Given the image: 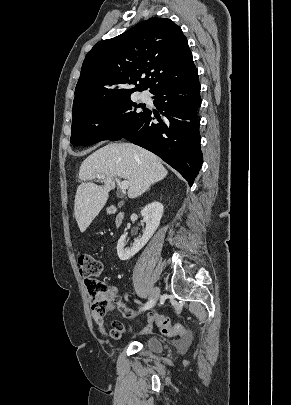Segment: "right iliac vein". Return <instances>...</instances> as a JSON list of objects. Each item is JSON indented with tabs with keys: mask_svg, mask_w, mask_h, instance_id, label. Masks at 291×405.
Returning <instances> with one entry per match:
<instances>
[{
	"mask_svg": "<svg viewBox=\"0 0 291 405\" xmlns=\"http://www.w3.org/2000/svg\"><path fill=\"white\" fill-rule=\"evenodd\" d=\"M160 296V290L158 287L153 288L152 292H151V299L154 301V305L157 302V300L159 299Z\"/></svg>",
	"mask_w": 291,
	"mask_h": 405,
	"instance_id": "1",
	"label": "right iliac vein"
}]
</instances>
